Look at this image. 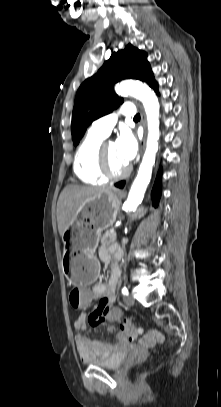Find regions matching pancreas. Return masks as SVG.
<instances>
[{"mask_svg": "<svg viewBox=\"0 0 221 407\" xmlns=\"http://www.w3.org/2000/svg\"><path fill=\"white\" fill-rule=\"evenodd\" d=\"M116 241V232L111 231L108 233H105L101 236L100 242L102 246H110L112 243Z\"/></svg>", "mask_w": 221, "mask_h": 407, "instance_id": "obj_1", "label": "pancreas"}]
</instances>
